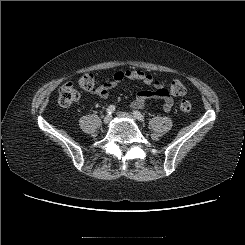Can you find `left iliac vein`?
<instances>
[{
	"instance_id": "4c4485c4",
	"label": "left iliac vein",
	"mask_w": 245,
	"mask_h": 245,
	"mask_svg": "<svg viewBox=\"0 0 245 245\" xmlns=\"http://www.w3.org/2000/svg\"><path fill=\"white\" fill-rule=\"evenodd\" d=\"M118 115L120 117H124V118H128V119H131V120H135V118L131 114L126 113V112H119Z\"/></svg>"
}]
</instances>
